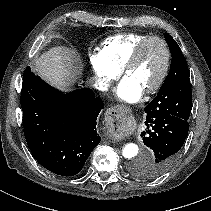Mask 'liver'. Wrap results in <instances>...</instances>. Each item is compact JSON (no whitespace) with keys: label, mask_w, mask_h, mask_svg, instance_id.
Instances as JSON below:
<instances>
[{"label":"liver","mask_w":211,"mask_h":211,"mask_svg":"<svg viewBox=\"0 0 211 211\" xmlns=\"http://www.w3.org/2000/svg\"><path fill=\"white\" fill-rule=\"evenodd\" d=\"M80 55L75 49L54 47L35 61L34 71L55 85H71L81 74Z\"/></svg>","instance_id":"obj_1"}]
</instances>
